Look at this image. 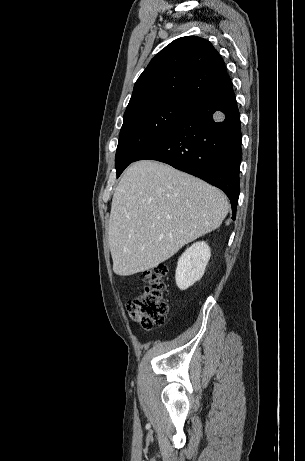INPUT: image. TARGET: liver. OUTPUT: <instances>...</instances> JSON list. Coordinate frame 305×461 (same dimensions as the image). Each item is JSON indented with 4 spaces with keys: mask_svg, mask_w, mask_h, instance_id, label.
I'll return each instance as SVG.
<instances>
[{
    "mask_svg": "<svg viewBox=\"0 0 305 461\" xmlns=\"http://www.w3.org/2000/svg\"><path fill=\"white\" fill-rule=\"evenodd\" d=\"M229 209L217 188L167 164L135 162L121 178L108 227L113 271L152 269L185 244L217 229Z\"/></svg>",
    "mask_w": 305,
    "mask_h": 461,
    "instance_id": "6515ba94",
    "label": "liver"
}]
</instances>
